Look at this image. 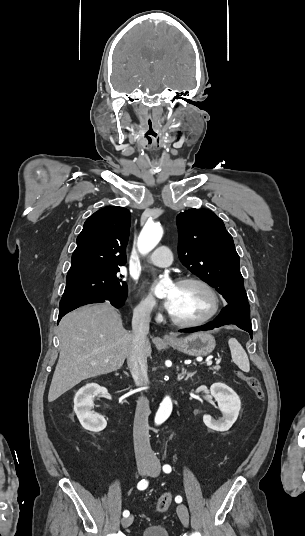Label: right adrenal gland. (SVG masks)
Here are the masks:
<instances>
[{
    "label": "right adrenal gland",
    "mask_w": 305,
    "mask_h": 536,
    "mask_svg": "<svg viewBox=\"0 0 305 536\" xmlns=\"http://www.w3.org/2000/svg\"><path fill=\"white\" fill-rule=\"evenodd\" d=\"M124 374H126V376H128L127 372H124Z\"/></svg>",
    "instance_id": "obj_1"
}]
</instances>
